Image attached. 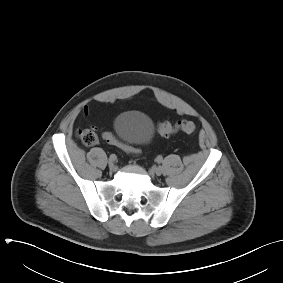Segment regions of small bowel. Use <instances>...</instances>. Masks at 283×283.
Here are the masks:
<instances>
[{
  "label": "small bowel",
  "mask_w": 283,
  "mask_h": 283,
  "mask_svg": "<svg viewBox=\"0 0 283 283\" xmlns=\"http://www.w3.org/2000/svg\"><path fill=\"white\" fill-rule=\"evenodd\" d=\"M85 114H88V108L85 107Z\"/></svg>",
  "instance_id": "small-bowel-1"
}]
</instances>
